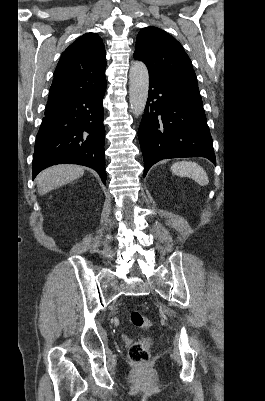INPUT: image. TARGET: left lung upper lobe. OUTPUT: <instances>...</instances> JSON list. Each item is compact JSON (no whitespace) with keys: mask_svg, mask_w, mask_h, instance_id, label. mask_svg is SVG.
<instances>
[{"mask_svg":"<svg viewBox=\"0 0 265 401\" xmlns=\"http://www.w3.org/2000/svg\"><path fill=\"white\" fill-rule=\"evenodd\" d=\"M134 58L146 64L150 78L198 87L191 60L181 44L157 27L139 32Z\"/></svg>","mask_w":265,"mask_h":401,"instance_id":"1","label":"left lung upper lobe"}]
</instances>
